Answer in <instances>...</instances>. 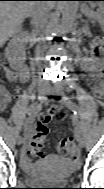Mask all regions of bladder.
I'll list each match as a JSON object with an SVG mask.
<instances>
[{
  "instance_id": "1",
  "label": "bladder",
  "mask_w": 104,
  "mask_h": 189,
  "mask_svg": "<svg viewBox=\"0 0 104 189\" xmlns=\"http://www.w3.org/2000/svg\"><path fill=\"white\" fill-rule=\"evenodd\" d=\"M79 168L70 159L50 155L43 157L33 168L25 170L26 180L34 185H64Z\"/></svg>"
}]
</instances>
